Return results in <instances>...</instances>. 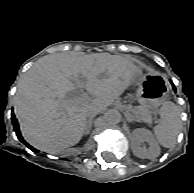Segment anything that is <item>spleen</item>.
Segmentation results:
<instances>
[{
    "mask_svg": "<svg viewBox=\"0 0 194 193\" xmlns=\"http://www.w3.org/2000/svg\"><path fill=\"white\" fill-rule=\"evenodd\" d=\"M160 121L154 127L158 142L165 148L174 146L181 129L180 109L171 101H165L159 110Z\"/></svg>",
    "mask_w": 194,
    "mask_h": 193,
    "instance_id": "3e777b00",
    "label": "spleen"
}]
</instances>
